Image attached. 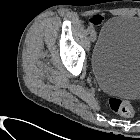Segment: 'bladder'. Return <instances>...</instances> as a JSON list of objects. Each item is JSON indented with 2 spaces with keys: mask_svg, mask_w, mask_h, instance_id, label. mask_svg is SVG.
Masks as SVG:
<instances>
[{
  "mask_svg": "<svg viewBox=\"0 0 140 140\" xmlns=\"http://www.w3.org/2000/svg\"><path fill=\"white\" fill-rule=\"evenodd\" d=\"M91 69L104 91L140 97V16L117 15L104 24L92 51Z\"/></svg>",
  "mask_w": 140,
  "mask_h": 140,
  "instance_id": "bladder-1",
  "label": "bladder"
}]
</instances>
